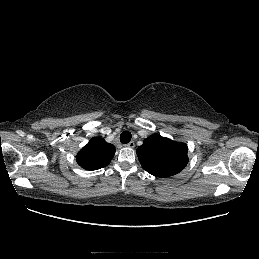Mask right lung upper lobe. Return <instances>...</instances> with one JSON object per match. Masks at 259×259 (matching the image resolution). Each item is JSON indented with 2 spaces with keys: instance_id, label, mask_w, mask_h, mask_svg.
Here are the masks:
<instances>
[{
  "instance_id": "1",
  "label": "right lung upper lobe",
  "mask_w": 259,
  "mask_h": 259,
  "mask_svg": "<svg viewBox=\"0 0 259 259\" xmlns=\"http://www.w3.org/2000/svg\"><path fill=\"white\" fill-rule=\"evenodd\" d=\"M114 153V145L100 137H94L78 152L76 160L86 170H97L107 166Z\"/></svg>"
}]
</instances>
